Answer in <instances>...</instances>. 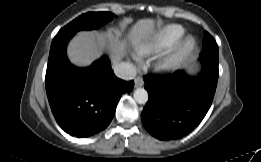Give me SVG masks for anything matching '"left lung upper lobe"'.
I'll return each mask as SVG.
<instances>
[{
    "label": "left lung upper lobe",
    "mask_w": 261,
    "mask_h": 162,
    "mask_svg": "<svg viewBox=\"0 0 261 162\" xmlns=\"http://www.w3.org/2000/svg\"><path fill=\"white\" fill-rule=\"evenodd\" d=\"M203 48H206L209 50H218L216 41L208 32L204 33Z\"/></svg>",
    "instance_id": "1"
}]
</instances>
